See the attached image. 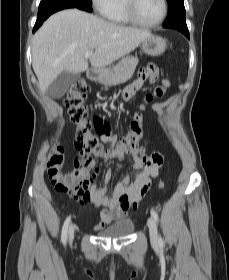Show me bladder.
I'll return each mask as SVG.
<instances>
[{
  "label": "bladder",
  "instance_id": "1",
  "mask_svg": "<svg viewBox=\"0 0 229 280\" xmlns=\"http://www.w3.org/2000/svg\"><path fill=\"white\" fill-rule=\"evenodd\" d=\"M135 229V223L131 219L121 220L114 225L98 232L103 237H124L130 235Z\"/></svg>",
  "mask_w": 229,
  "mask_h": 280
}]
</instances>
